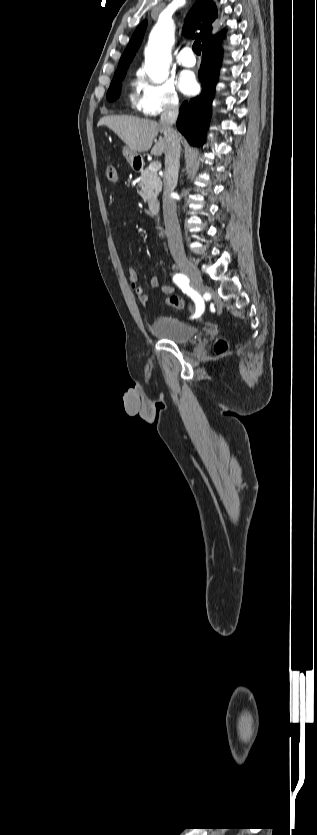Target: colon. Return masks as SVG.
Wrapping results in <instances>:
<instances>
[{
	"label": "colon",
	"instance_id": "1",
	"mask_svg": "<svg viewBox=\"0 0 317 835\" xmlns=\"http://www.w3.org/2000/svg\"><path fill=\"white\" fill-rule=\"evenodd\" d=\"M106 177L108 181L114 183L118 179V173L116 168L113 165H108L106 167ZM165 302L167 305L175 308V309H184L186 307L184 300L176 295H170L165 298ZM228 349V345L225 341H219L215 346V352L218 355L224 354Z\"/></svg>",
	"mask_w": 317,
	"mask_h": 835
}]
</instances>
